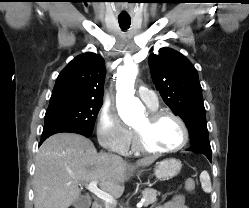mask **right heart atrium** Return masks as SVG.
<instances>
[{
	"instance_id": "1",
	"label": "right heart atrium",
	"mask_w": 249,
	"mask_h": 208,
	"mask_svg": "<svg viewBox=\"0 0 249 208\" xmlns=\"http://www.w3.org/2000/svg\"><path fill=\"white\" fill-rule=\"evenodd\" d=\"M97 138L103 147L126 155L129 151L132 133L123 124L115 109L103 105L97 117Z\"/></svg>"
}]
</instances>
